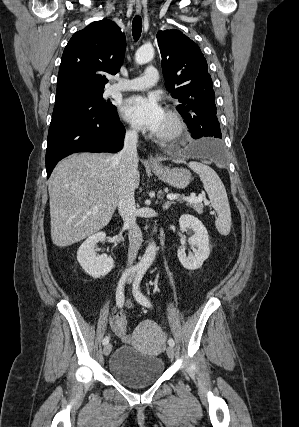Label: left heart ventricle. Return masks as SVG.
Segmentation results:
<instances>
[{
    "label": "left heart ventricle",
    "instance_id": "left-heart-ventricle-1",
    "mask_svg": "<svg viewBox=\"0 0 299 427\" xmlns=\"http://www.w3.org/2000/svg\"><path fill=\"white\" fill-rule=\"evenodd\" d=\"M169 127H170V122H169L168 118L165 115L163 123H162L161 127L159 128L158 132H164V131L168 130Z\"/></svg>",
    "mask_w": 299,
    "mask_h": 427
}]
</instances>
